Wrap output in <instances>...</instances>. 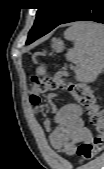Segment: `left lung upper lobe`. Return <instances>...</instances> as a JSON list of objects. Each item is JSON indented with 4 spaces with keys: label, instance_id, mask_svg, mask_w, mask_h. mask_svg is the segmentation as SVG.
I'll return each instance as SVG.
<instances>
[{
    "label": "left lung upper lobe",
    "instance_id": "left-lung-upper-lobe-1",
    "mask_svg": "<svg viewBox=\"0 0 104 169\" xmlns=\"http://www.w3.org/2000/svg\"><path fill=\"white\" fill-rule=\"evenodd\" d=\"M49 6L38 8L35 23L29 32L51 31L75 8L77 0H45ZM28 36V37H29Z\"/></svg>",
    "mask_w": 104,
    "mask_h": 169
}]
</instances>
